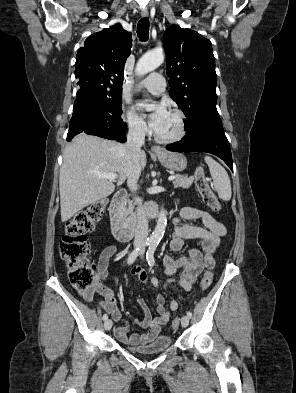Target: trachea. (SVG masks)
<instances>
[{
	"label": "trachea",
	"instance_id": "1",
	"mask_svg": "<svg viewBox=\"0 0 296 393\" xmlns=\"http://www.w3.org/2000/svg\"><path fill=\"white\" fill-rule=\"evenodd\" d=\"M137 35L140 41L144 42L148 40L149 37V19L142 18L137 25Z\"/></svg>",
	"mask_w": 296,
	"mask_h": 393
}]
</instances>
